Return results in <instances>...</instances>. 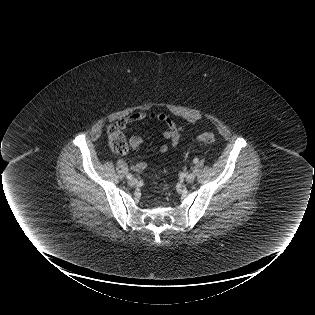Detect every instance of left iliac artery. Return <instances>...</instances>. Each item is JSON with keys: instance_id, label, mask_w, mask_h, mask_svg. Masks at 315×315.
<instances>
[{"instance_id": "1", "label": "left iliac artery", "mask_w": 315, "mask_h": 315, "mask_svg": "<svg viewBox=\"0 0 315 315\" xmlns=\"http://www.w3.org/2000/svg\"><path fill=\"white\" fill-rule=\"evenodd\" d=\"M193 162H194V163H197V162H198V159H197V158H195V159L193 160Z\"/></svg>"}]
</instances>
